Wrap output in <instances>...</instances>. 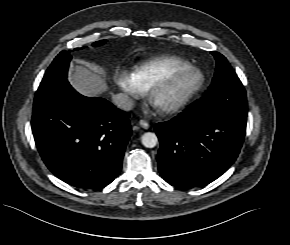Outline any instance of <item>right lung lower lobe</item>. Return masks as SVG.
Returning <instances> with one entry per match:
<instances>
[{
  "mask_svg": "<svg viewBox=\"0 0 290 245\" xmlns=\"http://www.w3.org/2000/svg\"><path fill=\"white\" fill-rule=\"evenodd\" d=\"M31 125L44 163L64 182L100 189L119 175L131 126L107 100L82 96L67 80L38 89Z\"/></svg>",
  "mask_w": 290,
  "mask_h": 245,
  "instance_id": "right-lung-lower-lobe-1",
  "label": "right lung lower lobe"
}]
</instances>
